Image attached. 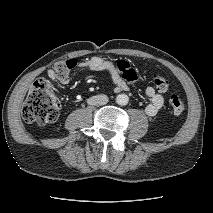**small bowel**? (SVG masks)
Instances as JSON below:
<instances>
[{
  "label": "small bowel",
  "mask_w": 213,
  "mask_h": 213,
  "mask_svg": "<svg viewBox=\"0 0 213 213\" xmlns=\"http://www.w3.org/2000/svg\"><path fill=\"white\" fill-rule=\"evenodd\" d=\"M76 61L75 66L86 69L93 72H109L113 76V80L115 83V91L116 92H123L130 89V86L135 85L138 80V72L130 68L128 74H121L115 68L114 63L106 58L100 56H93L91 58ZM48 76L53 80H56L60 84H67L70 81L69 74L64 76H58L54 69H50L47 72ZM145 95L150 99L149 103L145 106V113L150 116L154 117L158 114L161 108L164 105V98L163 96L156 91L153 86H146L144 89Z\"/></svg>",
  "instance_id": "small-bowel-1"
}]
</instances>
